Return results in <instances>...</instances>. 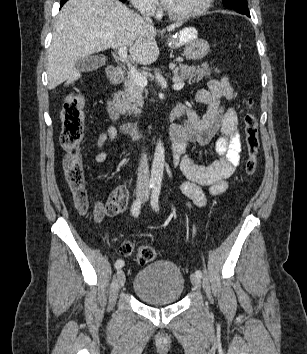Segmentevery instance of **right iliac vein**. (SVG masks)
Instances as JSON below:
<instances>
[{"label": "right iliac vein", "instance_id": "63e3f726", "mask_svg": "<svg viewBox=\"0 0 307 354\" xmlns=\"http://www.w3.org/2000/svg\"><path fill=\"white\" fill-rule=\"evenodd\" d=\"M117 280H118V283L121 287L124 286L125 281H126V276H125L124 271L121 269H119L117 271Z\"/></svg>", "mask_w": 307, "mask_h": 354}]
</instances>
